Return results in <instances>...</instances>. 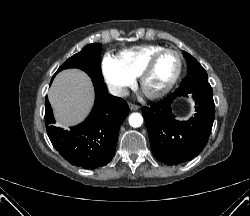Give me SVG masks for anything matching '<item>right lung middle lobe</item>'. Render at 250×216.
<instances>
[{
  "label": "right lung middle lobe",
  "mask_w": 250,
  "mask_h": 216,
  "mask_svg": "<svg viewBox=\"0 0 250 216\" xmlns=\"http://www.w3.org/2000/svg\"><path fill=\"white\" fill-rule=\"evenodd\" d=\"M101 47L99 43L85 46L79 53L67 59L56 73L67 68H78L85 71L92 81L103 83L100 65Z\"/></svg>",
  "instance_id": "obj_1"
}]
</instances>
